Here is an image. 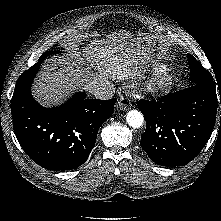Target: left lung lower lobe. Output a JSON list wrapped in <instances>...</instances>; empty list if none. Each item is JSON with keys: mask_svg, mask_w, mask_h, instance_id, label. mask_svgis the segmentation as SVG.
Wrapping results in <instances>:
<instances>
[{"mask_svg": "<svg viewBox=\"0 0 221 221\" xmlns=\"http://www.w3.org/2000/svg\"><path fill=\"white\" fill-rule=\"evenodd\" d=\"M218 102V94L202 85H192L157 101H138L146 119L141 147L158 165L187 164L209 140Z\"/></svg>", "mask_w": 221, "mask_h": 221, "instance_id": "obj_1", "label": "left lung lower lobe"}]
</instances>
